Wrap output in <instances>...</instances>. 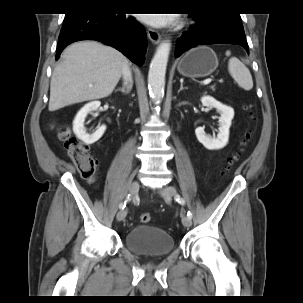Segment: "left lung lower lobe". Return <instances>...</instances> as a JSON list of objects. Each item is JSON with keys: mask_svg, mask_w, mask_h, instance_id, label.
I'll return each instance as SVG.
<instances>
[{"mask_svg": "<svg viewBox=\"0 0 303 303\" xmlns=\"http://www.w3.org/2000/svg\"><path fill=\"white\" fill-rule=\"evenodd\" d=\"M196 24L183 34L175 45V57L190 48L217 43H230L242 46L249 52L242 23L210 22L202 15H191Z\"/></svg>", "mask_w": 303, "mask_h": 303, "instance_id": "0a47b994", "label": "left lung lower lobe"}]
</instances>
